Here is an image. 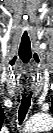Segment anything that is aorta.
I'll return each mask as SVG.
<instances>
[{
  "instance_id": "1",
  "label": "aorta",
  "mask_w": 53,
  "mask_h": 133,
  "mask_svg": "<svg viewBox=\"0 0 53 133\" xmlns=\"http://www.w3.org/2000/svg\"><path fill=\"white\" fill-rule=\"evenodd\" d=\"M51 124H52V119L50 115L41 114V115L32 117L26 127L30 131H38V130L50 127Z\"/></svg>"
}]
</instances>
